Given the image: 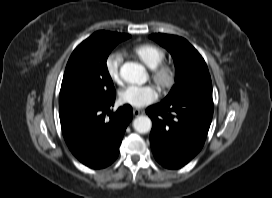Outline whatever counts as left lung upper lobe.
<instances>
[{
    "label": "left lung upper lobe",
    "instance_id": "5c2ea615",
    "mask_svg": "<svg viewBox=\"0 0 272 198\" xmlns=\"http://www.w3.org/2000/svg\"><path fill=\"white\" fill-rule=\"evenodd\" d=\"M149 37L166 48L175 63V85L163 101L184 97L212 98V83L207 65L186 39L162 33Z\"/></svg>",
    "mask_w": 272,
    "mask_h": 198
}]
</instances>
